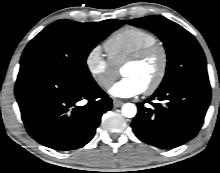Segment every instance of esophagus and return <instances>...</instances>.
<instances>
[{"label":"esophagus","mask_w":220,"mask_h":173,"mask_svg":"<svg viewBox=\"0 0 220 173\" xmlns=\"http://www.w3.org/2000/svg\"><path fill=\"white\" fill-rule=\"evenodd\" d=\"M123 104H124V102L122 100H119V99H116V98L113 99V105L115 107H119V106H121Z\"/></svg>","instance_id":"34e87169"}]
</instances>
